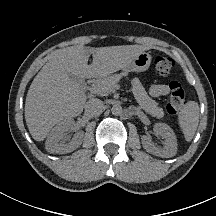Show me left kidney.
<instances>
[{
	"label": "left kidney",
	"instance_id": "1",
	"mask_svg": "<svg viewBox=\"0 0 216 216\" xmlns=\"http://www.w3.org/2000/svg\"><path fill=\"white\" fill-rule=\"evenodd\" d=\"M154 132L165 139L164 148L159 149L155 147L150 137L145 135L141 137L143 148L147 152L162 158L173 157L177 153V139L173 130L167 124L156 123Z\"/></svg>",
	"mask_w": 216,
	"mask_h": 216
}]
</instances>
